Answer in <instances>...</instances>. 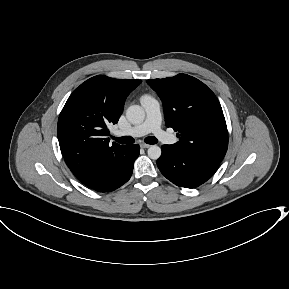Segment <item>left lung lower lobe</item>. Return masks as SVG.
Instances as JSON below:
<instances>
[{"mask_svg": "<svg viewBox=\"0 0 289 289\" xmlns=\"http://www.w3.org/2000/svg\"><path fill=\"white\" fill-rule=\"evenodd\" d=\"M162 154L157 160L161 173L180 187L194 188L210 179L220 162L199 155H191L163 145Z\"/></svg>", "mask_w": 289, "mask_h": 289, "instance_id": "0a47b994", "label": "left lung lower lobe"}]
</instances>
